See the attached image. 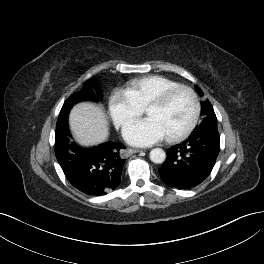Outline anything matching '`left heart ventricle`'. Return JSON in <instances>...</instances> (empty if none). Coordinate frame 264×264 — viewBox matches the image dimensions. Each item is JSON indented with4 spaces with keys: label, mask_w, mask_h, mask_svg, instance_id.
I'll return each mask as SVG.
<instances>
[{
    "label": "left heart ventricle",
    "mask_w": 264,
    "mask_h": 264,
    "mask_svg": "<svg viewBox=\"0 0 264 264\" xmlns=\"http://www.w3.org/2000/svg\"><path fill=\"white\" fill-rule=\"evenodd\" d=\"M146 115L158 123L165 136L175 135L191 121L193 101L187 92H180L167 105L148 109Z\"/></svg>",
    "instance_id": "1"
}]
</instances>
